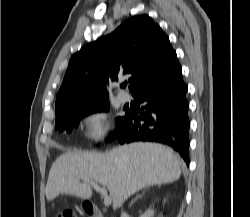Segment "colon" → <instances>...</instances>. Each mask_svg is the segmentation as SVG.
Listing matches in <instances>:
<instances>
[{
    "mask_svg": "<svg viewBox=\"0 0 250 217\" xmlns=\"http://www.w3.org/2000/svg\"><path fill=\"white\" fill-rule=\"evenodd\" d=\"M56 217H77L72 210L62 209L59 210Z\"/></svg>",
    "mask_w": 250,
    "mask_h": 217,
    "instance_id": "obj_1",
    "label": "colon"
}]
</instances>
